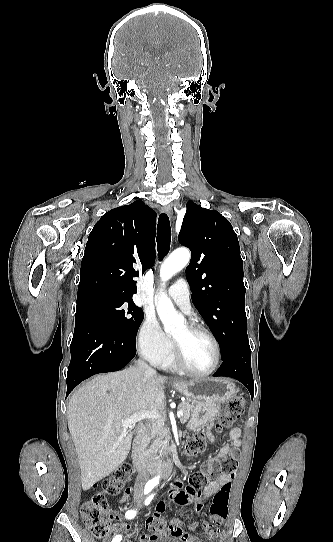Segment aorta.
Listing matches in <instances>:
<instances>
[{
	"mask_svg": "<svg viewBox=\"0 0 333 542\" xmlns=\"http://www.w3.org/2000/svg\"><path fill=\"white\" fill-rule=\"evenodd\" d=\"M189 260L190 254L188 250H175V252H172L169 258H167V260H165L161 266L160 276L162 282H167V280H170V278L175 276L177 272L183 270L184 266H186ZM156 310L164 326L166 334L167 332L172 334L174 328H177V326H183L182 316H179L178 312H176L170 298H168L167 294H165L163 290H161L159 298L156 302ZM153 482H155V484H159L160 476L153 478Z\"/></svg>",
	"mask_w": 333,
	"mask_h": 542,
	"instance_id": "762f6f07",
	"label": "aorta"
}]
</instances>
